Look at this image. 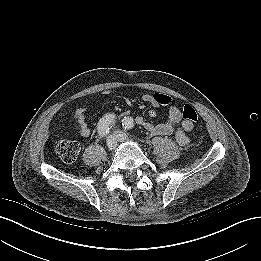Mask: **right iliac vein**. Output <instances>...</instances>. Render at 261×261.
<instances>
[{"mask_svg":"<svg viewBox=\"0 0 261 261\" xmlns=\"http://www.w3.org/2000/svg\"><path fill=\"white\" fill-rule=\"evenodd\" d=\"M107 147L109 150L113 151L116 149L117 147V139L115 136L113 135H109L107 137Z\"/></svg>","mask_w":261,"mask_h":261,"instance_id":"1","label":"right iliac vein"}]
</instances>
